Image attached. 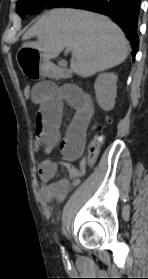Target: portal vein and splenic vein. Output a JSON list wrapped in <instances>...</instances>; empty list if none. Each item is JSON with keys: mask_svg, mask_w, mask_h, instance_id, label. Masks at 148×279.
I'll return each mask as SVG.
<instances>
[{"mask_svg": "<svg viewBox=\"0 0 148 279\" xmlns=\"http://www.w3.org/2000/svg\"><path fill=\"white\" fill-rule=\"evenodd\" d=\"M71 51V49L70 48H66V52H70Z\"/></svg>", "mask_w": 148, "mask_h": 279, "instance_id": "18ae733b", "label": "portal vein and splenic vein"}]
</instances>
